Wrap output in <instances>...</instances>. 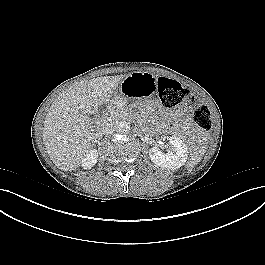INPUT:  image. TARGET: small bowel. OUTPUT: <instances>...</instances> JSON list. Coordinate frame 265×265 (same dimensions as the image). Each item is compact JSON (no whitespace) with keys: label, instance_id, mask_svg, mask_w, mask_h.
I'll return each mask as SVG.
<instances>
[{"label":"small bowel","instance_id":"1","mask_svg":"<svg viewBox=\"0 0 265 265\" xmlns=\"http://www.w3.org/2000/svg\"><path fill=\"white\" fill-rule=\"evenodd\" d=\"M189 108L186 106H181L176 112L175 115L179 117H188Z\"/></svg>","mask_w":265,"mask_h":265}]
</instances>
